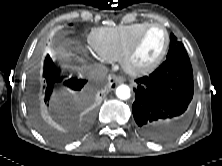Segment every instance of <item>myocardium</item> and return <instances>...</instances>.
I'll return each mask as SVG.
<instances>
[{
  "label": "myocardium",
  "instance_id": "obj_1",
  "mask_svg": "<svg viewBox=\"0 0 222 166\" xmlns=\"http://www.w3.org/2000/svg\"><path fill=\"white\" fill-rule=\"evenodd\" d=\"M154 27L162 28L163 31L165 32L166 39H165V44L163 46V49L160 52V54L158 55V57L150 64H148L146 66H141V67L136 66L133 63V56H134V54H135V52L142 40L144 34L149 29L154 28ZM169 46H170V33H169L168 29L161 23H157V22L148 23L137 33V35L134 37V39L132 40V42L129 44L126 51L124 52V54L121 58L123 68L128 73L134 74V75H143V74L150 73V72L154 71L157 67H159V65L162 63L163 59L165 58V56L167 54Z\"/></svg>",
  "mask_w": 222,
  "mask_h": 166
}]
</instances>
